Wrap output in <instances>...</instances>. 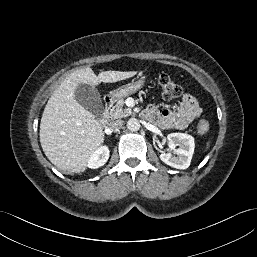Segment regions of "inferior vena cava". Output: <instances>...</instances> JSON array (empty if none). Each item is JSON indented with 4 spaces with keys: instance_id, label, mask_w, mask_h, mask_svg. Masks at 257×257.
I'll use <instances>...</instances> for the list:
<instances>
[{
    "instance_id": "602c4592",
    "label": "inferior vena cava",
    "mask_w": 257,
    "mask_h": 257,
    "mask_svg": "<svg viewBox=\"0 0 257 257\" xmlns=\"http://www.w3.org/2000/svg\"><path fill=\"white\" fill-rule=\"evenodd\" d=\"M123 125V121L122 120H115L110 122L109 124V128L113 131V130H118L122 127Z\"/></svg>"
}]
</instances>
